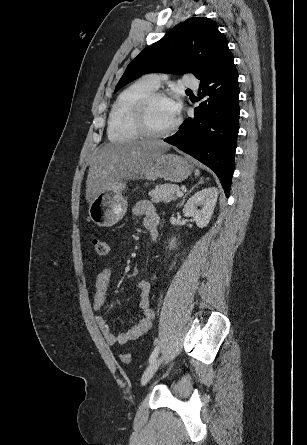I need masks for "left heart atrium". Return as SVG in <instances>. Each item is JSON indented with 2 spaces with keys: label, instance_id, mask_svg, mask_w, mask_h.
<instances>
[{
  "label": "left heart atrium",
  "instance_id": "left-heart-atrium-1",
  "mask_svg": "<svg viewBox=\"0 0 307 445\" xmlns=\"http://www.w3.org/2000/svg\"><path fill=\"white\" fill-rule=\"evenodd\" d=\"M167 103H168L170 113L172 114V116L174 118H177V116L180 112V104L177 101L172 100V99H168Z\"/></svg>",
  "mask_w": 307,
  "mask_h": 445
}]
</instances>
